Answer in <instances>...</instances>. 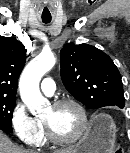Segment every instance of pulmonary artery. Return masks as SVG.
<instances>
[{
	"mask_svg": "<svg viewBox=\"0 0 130 153\" xmlns=\"http://www.w3.org/2000/svg\"><path fill=\"white\" fill-rule=\"evenodd\" d=\"M56 90V84L50 77H46L41 82V91L47 95L52 96Z\"/></svg>",
	"mask_w": 130,
	"mask_h": 153,
	"instance_id": "pulmonary-artery-1",
	"label": "pulmonary artery"
}]
</instances>
